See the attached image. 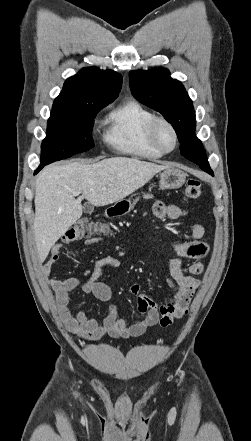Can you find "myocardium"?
<instances>
[{
    "label": "myocardium",
    "instance_id": "obj_1",
    "mask_svg": "<svg viewBox=\"0 0 251 441\" xmlns=\"http://www.w3.org/2000/svg\"><path fill=\"white\" fill-rule=\"evenodd\" d=\"M160 126H166L168 127L174 137V143L173 146L170 149H165L162 147V145L159 142L158 139V130L160 128ZM148 140L150 142V144L156 149L158 150L160 153L162 154H167L172 152L178 145L179 142V136H178V132L176 127L174 126V124L167 119L164 116H155L149 126H148Z\"/></svg>",
    "mask_w": 251,
    "mask_h": 441
}]
</instances>
